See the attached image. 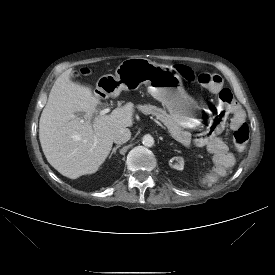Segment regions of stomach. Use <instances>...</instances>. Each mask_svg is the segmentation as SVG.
Segmentation results:
<instances>
[{
	"label": "stomach",
	"mask_w": 275,
	"mask_h": 275,
	"mask_svg": "<svg viewBox=\"0 0 275 275\" xmlns=\"http://www.w3.org/2000/svg\"><path fill=\"white\" fill-rule=\"evenodd\" d=\"M142 84L148 86L149 94L162 103L178 125L189 129L201 125L200 106L186 93L179 72L172 66L156 64L145 58H129L117 67L115 75L100 77L96 89L115 96L122 90H135Z\"/></svg>",
	"instance_id": "obj_1"
}]
</instances>
